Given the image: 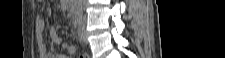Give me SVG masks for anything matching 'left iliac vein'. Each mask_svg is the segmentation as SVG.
I'll list each match as a JSON object with an SVG mask.
<instances>
[{
	"instance_id": "4c4485c4",
	"label": "left iliac vein",
	"mask_w": 225,
	"mask_h": 58,
	"mask_svg": "<svg viewBox=\"0 0 225 58\" xmlns=\"http://www.w3.org/2000/svg\"><path fill=\"white\" fill-rule=\"evenodd\" d=\"M78 34L80 39L84 42L87 43V34H86V30L84 27V21L82 19L79 20V27H78Z\"/></svg>"
}]
</instances>
